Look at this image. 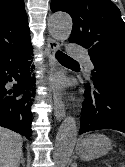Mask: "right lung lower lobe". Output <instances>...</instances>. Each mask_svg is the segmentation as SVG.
Instances as JSON below:
<instances>
[{
  "label": "right lung lower lobe",
  "mask_w": 125,
  "mask_h": 167,
  "mask_svg": "<svg viewBox=\"0 0 125 167\" xmlns=\"http://www.w3.org/2000/svg\"><path fill=\"white\" fill-rule=\"evenodd\" d=\"M32 45L14 44L0 51V126L13 130L27 139L31 137L34 77L30 69ZM16 81L12 88L7 82Z\"/></svg>",
  "instance_id": "right-lung-lower-lobe-1"
}]
</instances>
